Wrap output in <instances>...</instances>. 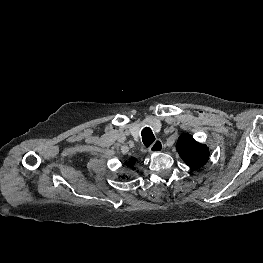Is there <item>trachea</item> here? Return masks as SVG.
Listing matches in <instances>:
<instances>
[{
    "instance_id": "1",
    "label": "trachea",
    "mask_w": 263,
    "mask_h": 263,
    "mask_svg": "<svg viewBox=\"0 0 263 263\" xmlns=\"http://www.w3.org/2000/svg\"><path fill=\"white\" fill-rule=\"evenodd\" d=\"M141 135L143 143L146 147H149L155 141V136L149 127H145L142 130Z\"/></svg>"
}]
</instances>
